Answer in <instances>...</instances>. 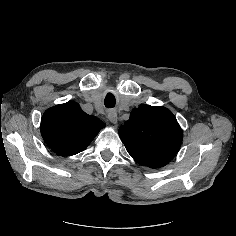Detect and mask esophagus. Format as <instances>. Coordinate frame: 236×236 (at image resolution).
<instances>
[{"mask_svg":"<svg viewBox=\"0 0 236 236\" xmlns=\"http://www.w3.org/2000/svg\"><path fill=\"white\" fill-rule=\"evenodd\" d=\"M108 119L111 123L113 124H117V113L116 111L114 110H111L109 113H108Z\"/></svg>","mask_w":236,"mask_h":236,"instance_id":"esophagus-1","label":"esophagus"}]
</instances>
